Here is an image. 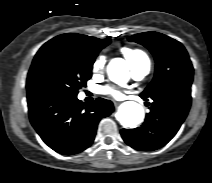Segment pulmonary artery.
<instances>
[{"label":"pulmonary artery","instance_id":"pulmonary-artery-1","mask_svg":"<svg viewBox=\"0 0 212 183\" xmlns=\"http://www.w3.org/2000/svg\"><path fill=\"white\" fill-rule=\"evenodd\" d=\"M150 72V65L143 64L139 66L132 67V76L135 79H142Z\"/></svg>","mask_w":212,"mask_h":183}]
</instances>
